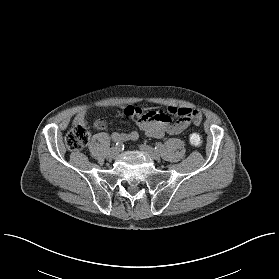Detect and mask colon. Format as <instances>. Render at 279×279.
<instances>
[{
	"instance_id": "obj_1",
	"label": "colon",
	"mask_w": 279,
	"mask_h": 279,
	"mask_svg": "<svg viewBox=\"0 0 279 279\" xmlns=\"http://www.w3.org/2000/svg\"><path fill=\"white\" fill-rule=\"evenodd\" d=\"M90 136L91 133L86 124L74 125L66 135V145L72 151H79L89 142ZM189 142L193 146H200L202 143L201 133L198 131L192 132L189 135Z\"/></svg>"
}]
</instances>
